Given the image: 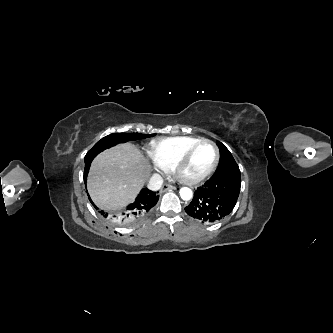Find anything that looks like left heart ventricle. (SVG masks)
I'll return each mask as SVG.
<instances>
[{
  "mask_svg": "<svg viewBox=\"0 0 333 333\" xmlns=\"http://www.w3.org/2000/svg\"><path fill=\"white\" fill-rule=\"evenodd\" d=\"M216 158L215 148L210 144L199 146L182 170L185 178H194L210 169Z\"/></svg>",
  "mask_w": 333,
  "mask_h": 333,
  "instance_id": "b2bd125f",
  "label": "left heart ventricle"
}]
</instances>
